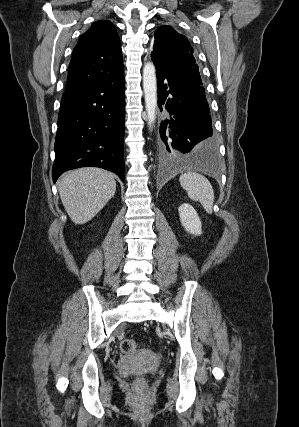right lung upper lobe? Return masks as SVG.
<instances>
[{"instance_id":"1","label":"right lung upper lobe","mask_w":299,"mask_h":427,"mask_svg":"<svg viewBox=\"0 0 299 427\" xmlns=\"http://www.w3.org/2000/svg\"><path fill=\"white\" fill-rule=\"evenodd\" d=\"M123 70L120 39L113 24L99 20L82 34L69 64L65 91L110 79Z\"/></svg>"}]
</instances>
